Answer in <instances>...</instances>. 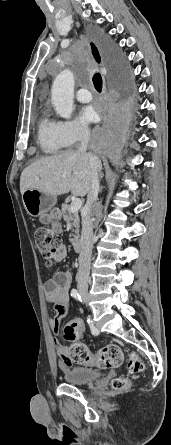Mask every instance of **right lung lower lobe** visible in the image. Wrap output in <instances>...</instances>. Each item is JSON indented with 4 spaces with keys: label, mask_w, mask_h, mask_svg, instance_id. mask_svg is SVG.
Here are the masks:
<instances>
[{
    "label": "right lung lower lobe",
    "mask_w": 171,
    "mask_h": 445,
    "mask_svg": "<svg viewBox=\"0 0 171 445\" xmlns=\"http://www.w3.org/2000/svg\"><path fill=\"white\" fill-rule=\"evenodd\" d=\"M104 53L115 81L113 93L105 101V122L93 131L90 147L98 155L115 161L121 157L133 119L134 88L124 56L109 43L104 45Z\"/></svg>",
    "instance_id": "obj_1"
}]
</instances>
